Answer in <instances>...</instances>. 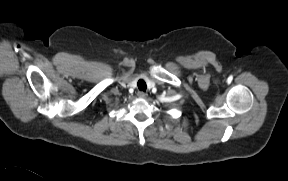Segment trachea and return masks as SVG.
I'll return each instance as SVG.
<instances>
[{"instance_id":"1","label":"trachea","mask_w":288,"mask_h":181,"mask_svg":"<svg viewBox=\"0 0 288 181\" xmlns=\"http://www.w3.org/2000/svg\"><path fill=\"white\" fill-rule=\"evenodd\" d=\"M137 86L139 88L140 91H146V83L143 79H140L137 83Z\"/></svg>"}]
</instances>
